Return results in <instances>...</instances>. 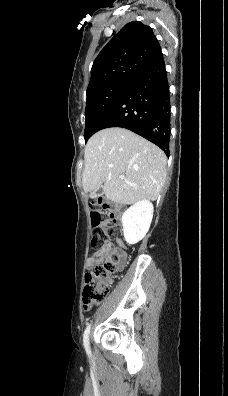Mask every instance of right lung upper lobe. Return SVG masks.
<instances>
[{"label":"right lung upper lobe","mask_w":228,"mask_h":396,"mask_svg":"<svg viewBox=\"0 0 228 396\" xmlns=\"http://www.w3.org/2000/svg\"><path fill=\"white\" fill-rule=\"evenodd\" d=\"M160 53L152 28L138 21L126 24L95 59L87 91L112 82L131 83Z\"/></svg>","instance_id":"1"}]
</instances>
